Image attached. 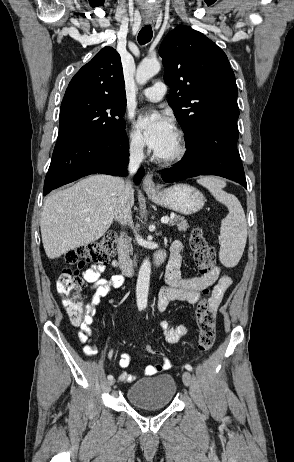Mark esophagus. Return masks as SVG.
Segmentation results:
<instances>
[{
  "label": "esophagus",
  "mask_w": 294,
  "mask_h": 462,
  "mask_svg": "<svg viewBox=\"0 0 294 462\" xmlns=\"http://www.w3.org/2000/svg\"><path fill=\"white\" fill-rule=\"evenodd\" d=\"M143 188L146 192L156 191V186L153 181V176L151 173H148L143 180Z\"/></svg>",
  "instance_id": "esophagus-1"
}]
</instances>
